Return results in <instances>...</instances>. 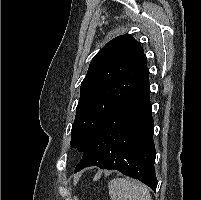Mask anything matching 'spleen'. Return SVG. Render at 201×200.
<instances>
[{
    "label": "spleen",
    "mask_w": 201,
    "mask_h": 200,
    "mask_svg": "<svg viewBox=\"0 0 201 200\" xmlns=\"http://www.w3.org/2000/svg\"><path fill=\"white\" fill-rule=\"evenodd\" d=\"M108 187L111 200H152L149 189L136 181L116 178Z\"/></svg>",
    "instance_id": "3e777b00"
}]
</instances>
